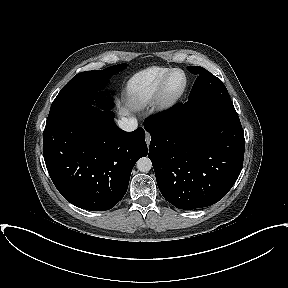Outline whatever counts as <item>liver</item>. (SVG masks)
<instances>
[{
  "instance_id": "obj_1",
  "label": "liver",
  "mask_w": 288,
  "mask_h": 288,
  "mask_svg": "<svg viewBox=\"0 0 288 288\" xmlns=\"http://www.w3.org/2000/svg\"><path fill=\"white\" fill-rule=\"evenodd\" d=\"M118 114H119L120 116H128V115L130 114V111H129V109H128L127 107H120V106H119V112H118Z\"/></svg>"
}]
</instances>
